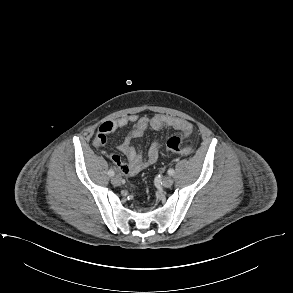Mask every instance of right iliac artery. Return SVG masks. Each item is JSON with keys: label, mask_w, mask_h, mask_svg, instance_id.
Here are the masks:
<instances>
[{"label": "right iliac artery", "mask_w": 293, "mask_h": 293, "mask_svg": "<svg viewBox=\"0 0 293 293\" xmlns=\"http://www.w3.org/2000/svg\"><path fill=\"white\" fill-rule=\"evenodd\" d=\"M114 174H115V172H114L112 169H110V170L108 171V175H109L110 177L114 176Z\"/></svg>", "instance_id": "1"}]
</instances>
